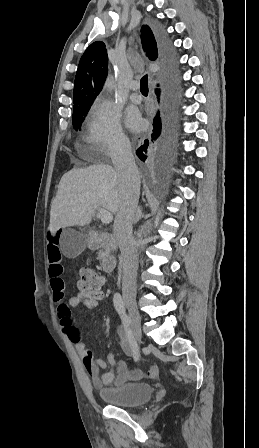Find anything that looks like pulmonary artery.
I'll use <instances>...</instances> for the list:
<instances>
[{
  "instance_id": "e3ab8cb5",
  "label": "pulmonary artery",
  "mask_w": 259,
  "mask_h": 448,
  "mask_svg": "<svg viewBox=\"0 0 259 448\" xmlns=\"http://www.w3.org/2000/svg\"><path fill=\"white\" fill-rule=\"evenodd\" d=\"M130 88L133 91L137 90L139 88V82L138 81H132L131 84H130ZM130 100L133 103H140L142 101V97L139 94H137V93H132L130 95Z\"/></svg>"
}]
</instances>
